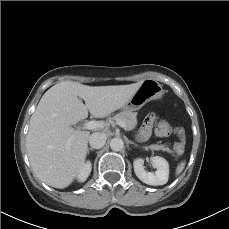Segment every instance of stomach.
Instances as JSON below:
<instances>
[{
  "instance_id": "0dacf381",
  "label": "stomach",
  "mask_w": 229,
  "mask_h": 229,
  "mask_svg": "<svg viewBox=\"0 0 229 229\" xmlns=\"http://www.w3.org/2000/svg\"><path fill=\"white\" fill-rule=\"evenodd\" d=\"M163 94L164 91L159 82L154 79H145L123 109L126 111L139 110L147 102L160 99Z\"/></svg>"
}]
</instances>
